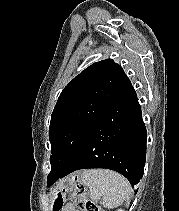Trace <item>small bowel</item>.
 Instances as JSON below:
<instances>
[{
    "label": "small bowel",
    "instance_id": "c3829d8e",
    "mask_svg": "<svg viewBox=\"0 0 179 211\" xmlns=\"http://www.w3.org/2000/svg\"><path fill=\"white\" fill-rule=\"evenodd\" d=\"M63 211H77V209L72 205H67Z\"/></svg>",
    "mask_w": 179,
    "mask_h": 211
}]
</instances>
